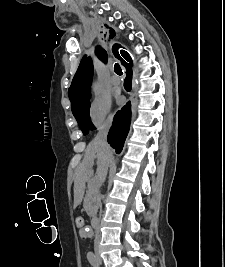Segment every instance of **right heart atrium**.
I'll return each mask as SVG.
<instances>
[{
    "label": "right heart atrium",
    "instance_id": "d8ad5b80",
    "mask_svg": "<svg viewBox=\"0 0 225 267\" xmlns=\"http://www.w3.org/2000/svg\"><path fill=\"white\" fill-rule=\"evenodd\" d=\"M90 119L94 126L108 125L112 120L111 100L107 96H97L90 105Z\"/></svg>",
    "mask_w": 225,
    "mask_h": 267
}]
</instances>
